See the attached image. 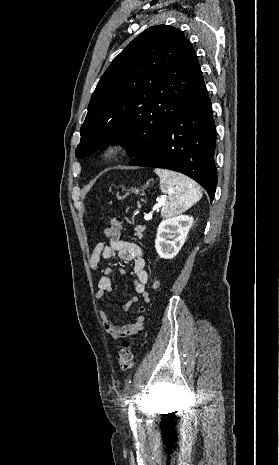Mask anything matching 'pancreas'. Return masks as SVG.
Instances as JSON below:
<instances>
[{
	"mask_svg": "<svg viewBox=\"0 0 279 465\" xmlns=\"http://www.w3.org/2000/svg\"><path fill=\"white\" fill-rule=\"evenodd\" d=\"M145 226H138L135 228V235L138 236V237H142V232L145 230Z\"/></svg>",
	"mask_w": 279,
	"mask_h": 465,
	"instance_id": "cf45deb5",
	"label": "pancreas"
}]
</instances>
